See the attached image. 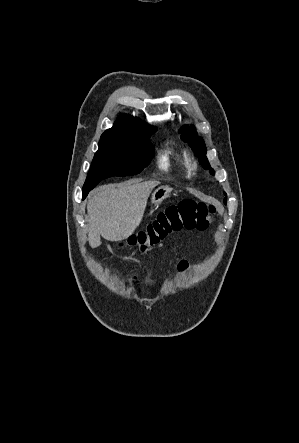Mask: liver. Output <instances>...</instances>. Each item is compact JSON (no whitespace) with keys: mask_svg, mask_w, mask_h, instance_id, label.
<instances>
[{"mask_svg":"<svg viewBox=\"0 0 299 443\" xmlns=\"http://www.w3.org/2000/svg\"><path fill=\"white\" fill-rule=\"evenodd\" d=\"M158 181L103 185L89 196L88 240L92 248L101 245L102 236L118 242L131 236L142 221L147 200Z\"/></svg>","mask_w":299,"mask_h":443,"instance_id":"liver-1","label":"liver"}]
</instances>
